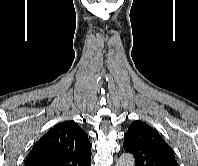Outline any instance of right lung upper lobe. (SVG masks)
I'll return each instance as SVG.
<instances>
[{"label":"right lung upper lobe","mask_w":198,"mask_h":166,"mask_svg":"<svg viewBox=\"0 0 198 166\" xmlns=\"http://www.w3.org/2000/svg\"><path fill=\"white\" fill-rule=\"evenodd\" d=\"M25 166H91L88 135L74 121L60 123L34 145Z\"/></svg>","instance_id":"right-lung-upper-lobe-1"}]
</instances>
